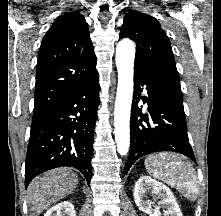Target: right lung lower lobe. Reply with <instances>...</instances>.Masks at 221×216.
Returning a JSON list of instances; mask_svg holds the SVG:
<instances>
[{"label": "right lung lower lobe", "mask_w": 221, "mask_h": 216, "mask_svg": "<svg viewBox=\"0 0 221 216\" xmlns=\"http://www.w3.org/2000/svg\"><path fill=\"white\" fill-rule=\"evenodd\" d=\"M98 76L34 114L26 156L25 187L53 168L78 169L90 183Z\"/></svg>", "instance_id": "1"}]
</instances>
